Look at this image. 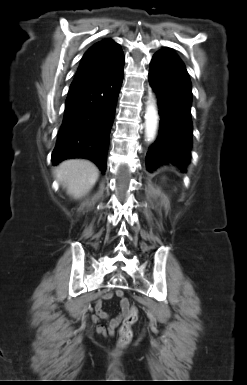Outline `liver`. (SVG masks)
Returning <instances> with one entry per match:
<instances>
[{"mask_svg":"<svg viewBox=\"0 0 247 385\" xmlns=\"http://www.w3.org/2000/svg\"><path fill=\"white\" fill-rule=\"evenodd\" d=\"M58 181L75 199L87 194L99 177L97 167L88 160L70 159L62 162L56 170Z\"/></svg>","mask_w":247,"mask_h":385,"instance_id":"liver-1","label":"liver"}]
</instances>
